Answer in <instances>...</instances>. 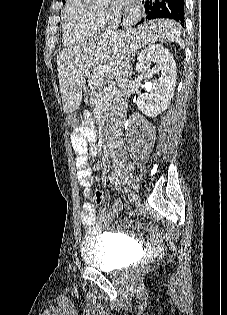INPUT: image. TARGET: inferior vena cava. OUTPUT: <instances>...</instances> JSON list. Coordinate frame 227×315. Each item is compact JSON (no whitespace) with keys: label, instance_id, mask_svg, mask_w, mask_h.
I'll list each match as a JSON object with an SVG mask.
<instances>
[{"label":"inferior vena cava","instance_id":"1","mask_svg":"<svg viewBox=\"0 0 227 315\" xmlns=\"http://www.w3.org/2000/svg\"><path fill=\"white\" fill-rule=\"evenodd\" d=\"M121 19V10L113 8L111 10L110 21L105 32L104 37L114 38L118 35V26ZM131 65L128 59L120 64L116 70L114 91L111 100V122L108 130V147L112 155L122 150L120 136L126 118V110L128 106V98L130 95V76Z\"/></svg>","mask_w":227,"mask_h":315}]
</instances>
